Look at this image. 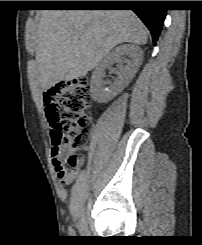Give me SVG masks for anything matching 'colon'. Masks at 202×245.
I'll return each instance as SVG.
<instances>
[{"label":"colon","mask_w":202,"mask_h":245,"mask_svg":"<svg viewBox=\"0 0 202 245\" xmlns=\"http://www.w3.org/2000/svg\"><path fill=\"white\" fill-rule=\"evenodd\" d=\"M90 101L91 90L85 78L62 82L58 87L54 113L50 117L51 145L59 146L64 144L66 138L71 139L64 150L69 167L79 164L80 151L91 132L92 122L88 114Z\"/></svg>","instance_id":"colon-1"}]
</instances>
